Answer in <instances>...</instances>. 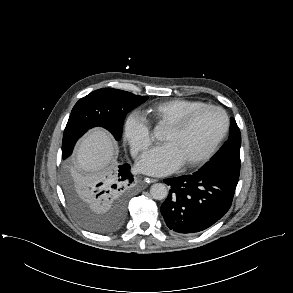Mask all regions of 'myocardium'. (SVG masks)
<instances>
[{
    "instance_id": "f54148a6",
    "label": "myocardium",
    "mask_w": 293,
    "mask_h": 293,
    "mask_svg": "<svg viewBox=\"0 0 293 293\" xmlns=\"http://www.w3.org/2000/svg\"><path fill=\"white\" fill-rule=\"evenodd\" d=\"M207 110H214L217 111L219 113L222 114L223 118H224V127L222 132L219 134V136L215 139V141L211 144V146L207 149V151L205 153H203L201 156H199L198 158L188 162V163H184L182 164V166L184 168H195L198 167L202 164H204L205 162H207L213 155L214 153L217 151V149L219 148L220 144L223 142V140L226 138L228 132H229V128H230V118L227 114V112L216 105H204L202 107H199L189 113H187L186 115H184L182 118H180L179 120H177L176 122L170 124L166 129L170 130L172 132L175 133H179L184 131L188 125L202 112L207 111Z\"/></svg>"
}]
</instances>
